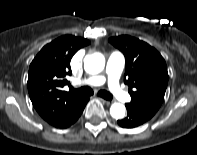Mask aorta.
<instances>
[{
  "instance_id": "aorta-1",
  "label": "aorta",
  "mask_w": 197,
  "mask_h": 155,
  "mask_svg": "<svg viewBox=\"0 0 197 155\" xmlns=\"http://www.w3.org/2000/svg\"><path fill=\"white\" fill-rule=\"evenodd\" d=\"M105 66L104 56L100 53L87 55L84 59L85 71L89 74L100 73ZM126 108L121 103H114L110 107V114L114 119H122L125 116Z\"/></svg>"
}]
</instances>
